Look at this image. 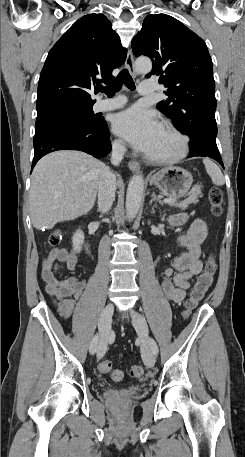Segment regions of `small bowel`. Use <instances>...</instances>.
Segmentation results:
<instances>
[{
    "label": "small bowel",
    "instance_id": "1",
    "mask_svg": "<svg viewBox=\"0 0 245 457\" xmlns=\"http://www.w3.org/2000/svg\"><path fill=\"white\" fill-rule=\"evenodd\" d=\"M187 221L186 214H175L169 218V223L172 226H181ZM206 235V223L197 218L190 223L187 232L178 238V244L186 251L174 258L172 265L165 268L162 273V290L169 301L182 302L190 287V280L202 270L201 245ZM60 263H65L71 271L77 268V258L72 251L65 248H55L42 261L41 277L45 283L46 293L60 316L68 319L74 311L86 282L76 277L58 280L56 275ZM75 335L82 344L85 343V336L80 328H75Z\"/></svg>",
    "mask_w": 245,
    "mask_h": 457
}]
</instances>
